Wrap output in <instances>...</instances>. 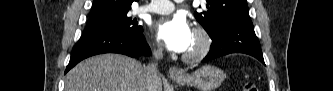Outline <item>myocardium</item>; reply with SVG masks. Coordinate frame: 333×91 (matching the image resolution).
<instances>
[{
	"label": "myocardium",
	"mask_w": 333,
	"mask_h": 91,
	"mask_svg": "<svg viewBox=\"0 0 333 91\" xmlns=\"http://www.w3.org/2000/svg\"><path fill=\"white\" fill-rule=\"evenodd\" d=\"M193 34L198 39L197 47L191 52H185L183 59L186 62H195L206 57L212 46V39L209 33L203 27H195Z\"/></svg>",
	"instance_id": "myocardium-1"
}]
</instances>
